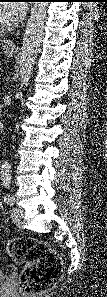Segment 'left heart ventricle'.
<instances>
[{
	"label": "left heart ventricle",
	"instance_id": "left-heart-ventricle-1",
	"mask_svg": "<svg viewBox=\"0 0 107 297\" xmlns=\"http://www.w3.org/2000/svg\"><path fill=\"white\" fill-rule=\"evenodd\" d=\"M2 8V9H1ZM9 20L7 18V16L5 15V12L3 10V6L0 7V24L1 22L3 23H7ZM9 23V22H8Z\"/></svg>",
	"mask_w": 107,
	"mask_h": 297
}]
</instances>
